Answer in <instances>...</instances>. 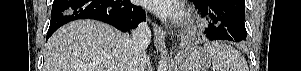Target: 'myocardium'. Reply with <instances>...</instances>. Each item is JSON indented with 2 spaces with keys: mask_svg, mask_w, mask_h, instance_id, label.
<instances>
[{
  "mask_svg": "<svg viewBox=\"0 0 301 71\" xmlns=\"http://www.w3.org/2000/svg\"><path fill=\"white\" fill-rule=\"evenodd\" d=\"M186 23H187V25H189V26H191V27L196 25V21H195L194 18L191 17V16H188V17H187Z\"/></svg>",
  "mask_w": 301,
  "mask_h": 71,
  "instance_id": "1",
  "label": "myocardium"
}]
</instances>
